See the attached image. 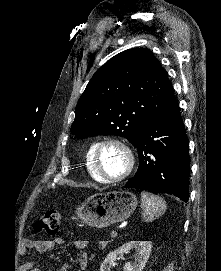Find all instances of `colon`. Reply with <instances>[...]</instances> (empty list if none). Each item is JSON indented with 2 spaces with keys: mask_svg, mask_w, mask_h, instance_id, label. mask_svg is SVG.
<instances>
[{
  "mask_svg": "<svg viewBox=\"0 0 221 271\" xmlns=\"http://www.w3.org/2000/svg\"><path fill=\"white\" fill-rule=\"evenodd\" d=\"M58 224L59 212L46 211L35 221L33 228L35 232L46 231L48 233H55L58 230Z\"/></svg>",
  "mask_w": 221,
  "mask_h": 271,
  "instance_id": "5ec220e1",
  "label": "colon"
}]
</instances>
